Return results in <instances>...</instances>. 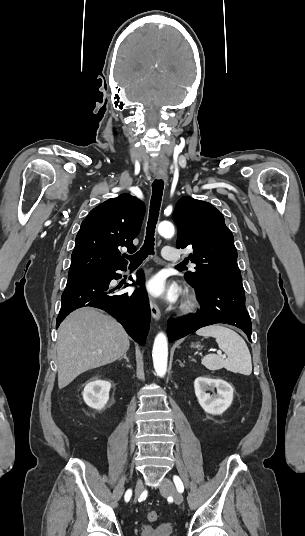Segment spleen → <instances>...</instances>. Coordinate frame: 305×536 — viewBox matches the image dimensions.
I'll return each instance as SVG.
<instances>
[{"instance_id": "3e777b00", "label": "spleen", "mask_w": 305, "mask_h": 536, "mask_svg": "<svg viewBox=\"0 0 305 536\" xmlns=\"http://www.w3.org/2000/svg\"><path fill=\"white\" fill-rule=\"evenodd\" d=\"M197 336H211L216 338V342L220 348L225 352L228 358H221L217 354H208L202 358V364L207 370H228V372H234V374H243V376H250L252 372V362L250 352L241 336L224 328L221 324H214V326H206L196 332Z\"/></svg>"}]
</instances>
